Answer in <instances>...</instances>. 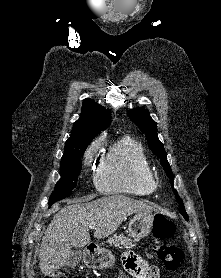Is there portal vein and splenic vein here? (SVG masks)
Returning a JSON list of instances; mask_svg holds the SVG:
<instances>
[{
	"instance_id": "1",
	"label": "portal vein and splenic vein",
	"mask_w": 221,
	"mask_h": 278,
	"mask_svg": "<svg viewBox=\"0 0 221 278\" xmlns=\"http://www.w3.org/2000/svg\"><path fill=\"white\" fill-rule=\"evenodd\" d=\"M95 227H96V223H91V224L89 225V229H95Z\"/></svg>"
}]
</instances>
